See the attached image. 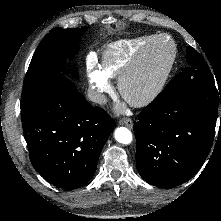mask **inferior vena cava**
Returning <instances> with one entry per match:
<instances>
[{"instance_id": "1", "label": "inferior vena cava", "mask_w": 221, "mask_h": 221, "mask_svg": "<svg viewBox=\"0 0 221 221\" xmlns=\"http://www.w3.org/2000/svg\"><path fill=\"white\" fill-rule=\"evenodd\" d=\"M88 98L94 102V103H98V104H105L107 101V98L104 94L99 93L96 90H88Z\"/></svg>"}]
</instances>
